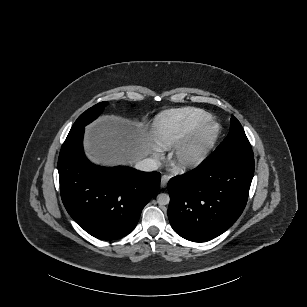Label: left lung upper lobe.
Listing matches in <instances>:
<instances>
[{
	"instance_id": "5c2ea615",
	"label": "left lung upper lobe",
	"mask_w": 307,
	"mask_h": 307,
	"mask_svg": "<svg viewBox=\"0 0 307 307\" xmlns=\"http://www.w3.org/2000/svg\"><path fill=\"white\" fill-rule=\"evenodd\" d=\"M230 122L229 134L215 149L213 155L237 153L252 156L251 145L240 122L234 116L231 117Z\"/></svg>"
}]
</instances>
